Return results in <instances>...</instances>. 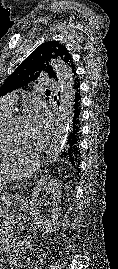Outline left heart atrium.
<instances>
[{"label":"left heart atrium","instance_id":"1","mask_svg":"<svg viewBox=\"0 0 118 269\" xmlns=\"http://www.w3.org/2000/svg\"><path fill=\"white\" fill-rule=\"evenodd\" d=\"M25 119L31 135L35 138L42 137L49 130L50 115L45 106L40 102L29 103Z\"/></svg>","mask_w":118,"mask_h":269}]
</instances>
